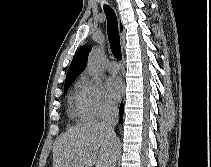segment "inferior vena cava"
<instances>
[{"label": "inferior vena cava", "instance_id": "inferior-vena-cava-1", "mask_svg": "<svg viewBox=\"0 0 211 167\" xmlns=\"http://www.w3.org/2000/svg\"><path fill=\"white\" fill-rule=\"evenodd\" d=\"M118 108L116 105L109 104L106 109L105 119L102 122L104 128L110 133L112 138L117 139L114 127L118 123Z\"/></svg>", "mask_w": 211, "mask_h": 167}]
</instances>
